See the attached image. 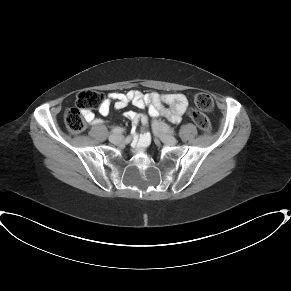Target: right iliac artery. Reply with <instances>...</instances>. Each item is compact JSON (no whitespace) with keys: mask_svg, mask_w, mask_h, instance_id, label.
<instances>
[{"mask_svg":"<svg viewBox=\"0 0 291 291\" xmlns=\"http://www.w3.org/2000/svg\"><path fill=\"white\" fill-rule=\"evenodd\" d=\"M123 131H124L123 128L117 127V128L112 129L111 132L119 134V133H122Z\"/></svg>","mask_w":291,"mask_h":291,"instance_id":"82829eb1","label":"right iliac artery"}]
</instances>
